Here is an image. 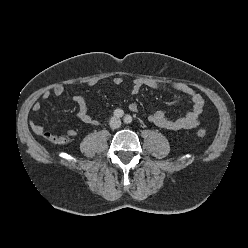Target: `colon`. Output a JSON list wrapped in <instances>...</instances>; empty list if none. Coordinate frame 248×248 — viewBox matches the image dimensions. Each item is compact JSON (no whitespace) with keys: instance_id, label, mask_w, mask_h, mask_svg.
<instances>
[{"instance_id":"obj_1","label":"colon","mask_w":248,"mask_h":248,"mask_svg":"<svg viewBox=\"0 0 248 248\" xmlns=\"http://www.w3.org/2000/svg\"><path fill=\"white\" fill-rule=\"evenodd\" d=\"M197 136L203 138L206 136V131L204 129H199L197 131ZM48 139L56 144H62L66 142V138L61 135H49Z\"/></svg>"}]
</instances>
